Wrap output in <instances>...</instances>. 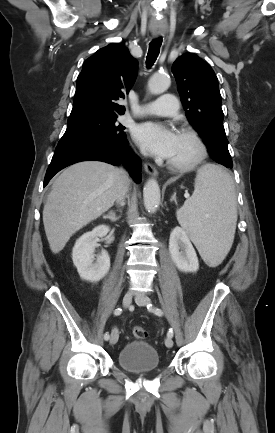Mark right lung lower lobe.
I'll return each mask as SVG.
<instances>
[{
    "instance_id": "right-lung-lower-lobe-1",
    "label": "right lung lower lobe",
    "mask_w": 275,
    "mask_h": 433,
    "mask_svg": "<svg viewBox=\"0 0 275 433\" xmlns=\"http://www.w3.org/2000/svg\"><path fill=\"white\" fill-rule=\"evenodd\" d=\"M126 157V160L123 158ZM96 160L117 165L122 162L128 164V171L136 183L141 182V162L131 154L128 141L105 144H69L57 146L47 169L44 187L50 179L61 169L81 161Z\"/></svg>"
}]
</instances>
